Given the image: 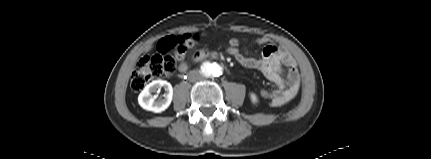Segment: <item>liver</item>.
Returning <instances> with one entry per match:
<instances>
[{
    "label": "liver",
    "mask_w": 431,
    "mask_h": 159,
    "mask_svg": "<svg viewBox=\"0 0 431 159\" xmlns=\"http://www.w3.org/2000/svg\"><path fill=\"white\" fill-rule=\"evenodd\" d=\"M151 49V46L147 47L146 51H149Z\"/></svg>",
    "instance_id": "6515ba94"
}]
</instances>
